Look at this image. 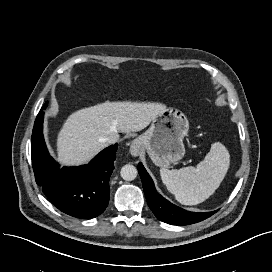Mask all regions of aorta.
I'll use <instances>...</instances> for the list:
<instances>
[{"mask_svg": "<svg viewBox=\"0 0 272 272\" xmlns=\"http://www.w3.org/2000/svg\"><path fill=\"white\" fill-rule=\"evenodd\" d=\"M137 169L130 164H126L121 168V177L126 181H132L137 177Z\"/></svg>", "mask_w": 272, "mask_h": 272, "instance_id": "obj_1", "label": "aorta"}]
</instances>
